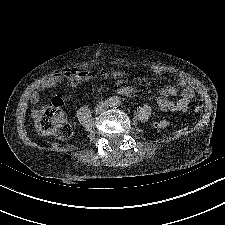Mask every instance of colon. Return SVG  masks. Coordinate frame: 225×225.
Returning a JSON list of instances; mask_svg holds the SVG:
<instances>
[{
	"mask_svg": "<svg viewBox=\"0 0 225 225\" xmlns=\"http://www.w3.org/2000/svg\"><path fill=\"white\" fill-rule=\"evenodd\" d=\"M38 131L44 135H55L59 139H68L72 135V127L65 119L63 103L60 99H54L52 103L36 116ZM159 129L168 126V121L160 120L157 125Z\"/></svg>",
	"mask_w": 225,
	"mask_h": 225,
	"instance_id": "5ec220e1",
	"label": "colon"
}]
</instances>
